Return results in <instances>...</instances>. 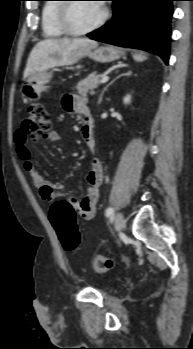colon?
<instances>
[{"label":"colon","mask_w":193,"mask_h":349,"mask_svg":"<svg viewBox=\"0 0 193 349\" xmlns=\"http://www.w3.org/2000/svg\"><path fill=\"white\" fill-rule=\"evenodd\" d=\"M51 130L52 117L45 107L40 103L29 106L22 123V131L27 139L46 138L50 135ZM49 217L64 249L67 251L77 250L80 234L77 229L76 211L73 205L66 200L54 201L50 206ZM92 265L97 272L105 273L113 267V262L102 255H96Z\"/></svg>","instance_id":"colon-1"}]
</instances>
